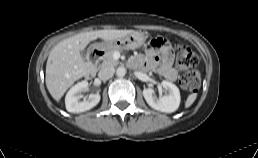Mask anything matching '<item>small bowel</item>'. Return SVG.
<instances>
[{"mask_svg":"<svg viewBox=\"0 0 258 158\" xmlns=\"http://www.w3.org/2000/svg\"><path fill=\"white\" fill-rule=\"evenodd\" d=\"M173 60V48L166 42L159 50L148 48L143 56L133 57L130 64L144 71L154 70L161 77L174 81L177 71L173 66Z\"/></svg>","mask_w":258,"mask_h":158,"instance_id":"small-bowel-1","label":"small bowel"}]
</instances>
